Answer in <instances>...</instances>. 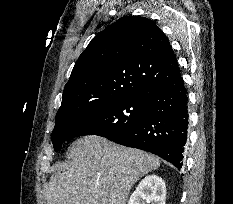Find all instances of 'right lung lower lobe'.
<instances>
[{
	"label": "right lung lower lobe",
	"mask_w": 233,
	"mask_h": 204,
	"mask_svg": "<svg viewBox=\"0 0 233 204\" xmlns=\"http://www.w3.org/2000/svg\"><path fill=\"white\" fill-rule=\"evenodd\" d=\"M148 115L109 140L160 156L180 169L187 142L188 93L179 67L148 95Z\"/></svg>",
	"instance_id": "1"
}]
</instances>
